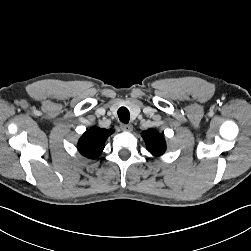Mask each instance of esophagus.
<instances>
[{"mask_svg":"<svg viewBox=\"0 0 251 251\" xmlns=\"http://www.w3.org/2000/svg\"><path fill=\"white\" fill-rule=\"evenodd\" d=\"M120 128L122 131L130 132L132 131L133 127L130 124H121Z\"/></svg>","mask_w":251,"mask_h":251,"instance_id":"esophagus-1","label":"esophagus"}]
</instances>
